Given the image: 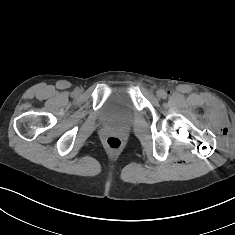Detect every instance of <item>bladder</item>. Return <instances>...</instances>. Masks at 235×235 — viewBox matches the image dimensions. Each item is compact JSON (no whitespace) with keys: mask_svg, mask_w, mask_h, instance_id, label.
I'll return each instance as SVG.
<instances>
[{"mask_svg":"<svg viewBox=\"0 0 235 235\" xmlns=\"http://www.w3.org/2000/svg\"><path fill=\"white\" fill-rule=\"evenodd\" d=\"M134 105L130 94L122 89L112 93L99 110L100 120L107 125L122 126L131 122Z\"/></svg>","mask_w":235,"mask_h":235,"instance_id":"31cf9c89","label":"bladder"}]
</instances>
